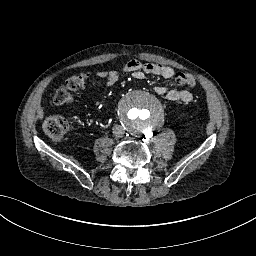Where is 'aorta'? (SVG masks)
Returning <instances> with one entry per match:
<instances>
[{
  "mask_svg": "<svg viewBox=\"0 0 256 256\" xmlns=\"http://www.w3.org/2000/svg\"><path fill=\"white\" fill-rule=\"evenodd\" d=\"M119 117L128 130L135 133H145L158 124L161 108L152 95L145 92H135L122 101Z\"/></svg>",
  "mask_w": 256,
  "mask_h": 256,
  "instance_id": "aorta-1",
  "label": "aorta"
}]
</instances>
